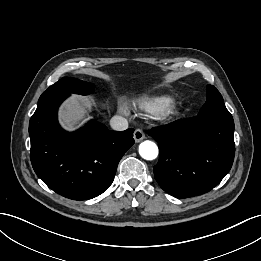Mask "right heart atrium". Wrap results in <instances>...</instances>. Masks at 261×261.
Returning <instances> with one entry per match:
<instances>
[{
    "label": "right heart atrium",
    "instance_id": "1",
    "mask_svg": "<svg viewBox=\"0 0 261 261\" xmlns=\"http://www.w3.org/2000/svg\"><path fill=\"white\" fill-rule=\"evenodd\" d=\"M120 110H121V112H123V113H127V109H126L124 106H122V107L120 108Z\"/></svg>",
    "mask_w": 261,
    "mask_h": 261
}]
</instances>
